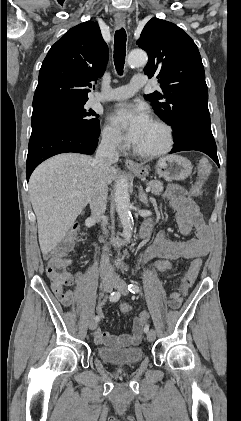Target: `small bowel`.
<instances>
[{
	"instance_id": "1",
	"label": "small bowel",
	"mask_w": 241,
	"mask_h": 421,
	"mask_svg": "<svg viewBox=\"0 0 241 421\" xmlns=\"http://www.w3.org/2000/svg\"><path fill=\"white\" fill-rule=\"evenodd\" d=\"M165 197L176 211V219L181 233L189 235L194 231L195 237L186 241H175L167 233L160 232L147 247L143 257L144 261L156 258L170 261L200 259L208 255L211 243L209 229L197 205L190 198L187 191L180 186L169 185L166 189ZM79 281L80 275L77 274L76 283H79ZM52 288L56 298L63 306L69 307L72 305L74 301L73 291L66 289L65 286L59 288L52 286ZM182 301L181 294L176 292L170 295L168 304L172 309H176L181 305ZM147 320L148 314L146 312H142L135 317L130 334L114 335L97 328L94 333L95 342L98 345L105 346H136L141 341L143 327Z\"/></svg>"
}]
</instances>
